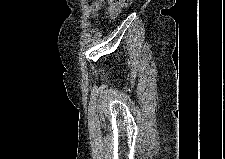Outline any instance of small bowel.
I'll return each instance as SVG.
<instances>
[{
    "instance_id": "small-bowel-1",
    "label": "small bowel",
    "mask_w": 225,
    "mask_h": 159,
    "mask_svg": "<svg viewBox=\"0 0 225 159\" xmlns=\"http://www.w3.org/2000/svg\"><path fill=\"white\" fill-rule=\"evenodd\" d=\"M104 5H105V0H96L88 5V10H89L91 19H94L99 15V12ZM117 9H118L117 5L110 6V11L112 12L117 11Z\"/></svg>"
}]
</instances>
